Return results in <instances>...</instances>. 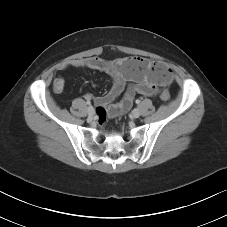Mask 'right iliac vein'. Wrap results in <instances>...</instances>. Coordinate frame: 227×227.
I'll list each match as a JSON object with an SVG mask.
<instances>
[{
	"label": "right iliac vein",
	"mask_w": 227,
	"mask_h": 227,
	"mask_svg": "<svg viewBox=\"0 0 227 227\" xmlns=\"http://www.w3.org/2000/svg\"><path fill=\"white\" fill-rule=\"evenodd\" d=\"M94 114H95V111H94L93 107H88V115H89L90 117H93Z\"/></svg>",
	"instance_id": "63e3f726"
}]
</instances>
